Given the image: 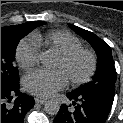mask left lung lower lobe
<instances>
[{
	"label": "left lung lower lobe",
	"instance_id": "1",
	"mask_svg": "<svg viewBox=\"0 0 123 123\" xmlns=\"http://www.w3.org/2000/svg\"><path fill=\"white\" fill-rule=\"evenodd\" d=\"M66 96L75 105V109L69 110L68 106L62 105L54 123H104L114 100V97L103 94L76 91Z\"/></svg>",
	"mask_w": 123,
	"mask_h": 123
}]
</instances>
